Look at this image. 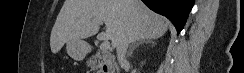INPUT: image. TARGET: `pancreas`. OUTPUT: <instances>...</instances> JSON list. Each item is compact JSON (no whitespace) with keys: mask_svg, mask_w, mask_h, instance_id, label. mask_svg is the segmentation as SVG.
Here are the masks:
<instances>
[{"mask_svg":"<svg viewBox=\"0 0 244 73\" xmlns=\"http://www.w3.org/2000/svg\"><path fill=\"white\" fill-rule=\"evenodd\" d=\"M92 59H93V61H92ZM104 61H108L112 65H115L113 57L110 54H108L102 50H99L95 56H92L90 58L89 65L95 66L97 62L100 64Z\"/></svg>","mask_w":244,"mask_h":73,"instance_id":"1","label":"pancreas"}]
</instances>
